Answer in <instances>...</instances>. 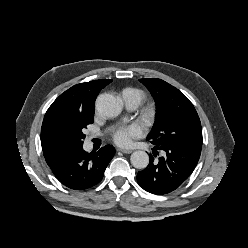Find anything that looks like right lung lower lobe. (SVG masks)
<instances>
[{"label": "right lung lower lobe", "instance_id": "right-lung-lower-lobe-1", "mask_svg": "<svg viewBox=\"0 0 248 248\" xmlns=\"http://www.w3.org/2000/svg\"><path fill=\"white\" fill-rule=\"evenodd\" d=\"M115 154L114 147L107 145L97 152L87 153L78 146L50 166L56 178L66 187L85 190L98 184Z\"/></svg>", "mask_w": 248, "mask_h": 248}]
</instances>
